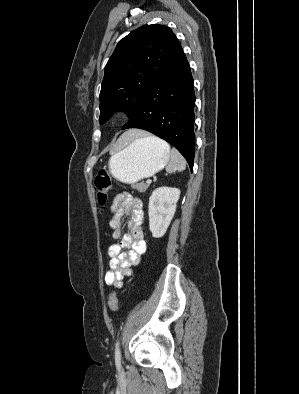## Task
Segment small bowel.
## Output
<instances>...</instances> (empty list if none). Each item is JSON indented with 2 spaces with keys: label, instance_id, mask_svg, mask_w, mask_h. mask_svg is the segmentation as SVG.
I'll use <instances>...</instances> for the list:
<instances>
[{
  "label": "small bowel",
  "instance_id": "small-bowel-1",
  "mask_svg": "<svg viewBox=\"0 0 299 394\" xmlns=\"http://www.w3.org/2000/svg\"><path fill=\"white\" fill-rule=\"evenodd\" d=\"M110 210L112 238H121V241L108 247L110 270L105 275V281L108 285L120 287L123 278L132 273V266L137 265L146 252L142 202L128 192H119L113 198ZM125 216H129V232L123 234Z\"/></svg>",
  "mask_w": 299,
  "mask_h": 394
}]
</instances>
